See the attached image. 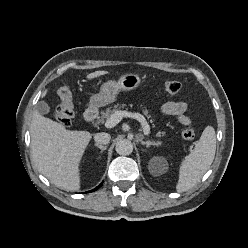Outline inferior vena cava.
<instances>
[{"label": "inferior vena cava", "instance_id": "inferior-vena-cava-1", "mask_svg": "<svg viewBox=\"0 0 248 248\" xmlns=\"http://www.w3.org/2000/svg\"><path fill=\"white\" fill-rule=\"evenodd\" d=\"M111 139V136L108 133H96L94 135V140L97 144H108Z\"/></svg>", "mask_w": 248, "mask_h": 248}]
</instances>
